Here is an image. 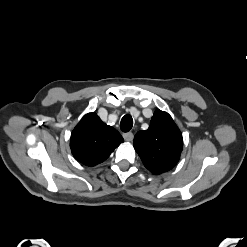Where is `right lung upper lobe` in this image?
I'll list each match as a JSON object with an SVG mask.
<instances>
[{
  "instance_id": "right-lung-upper-lobe-1",
  "label": "right lung upper lobe",
  "mask_w": 247,
  "mask_h": 247,
  "mask_svg": "<svg viewBox=\"0 0 247 247\" xmlns=\"http://www.w3.org/2000/svg\"><path fill=\"white\" fill-rule=\"evenodd\" d=\"M123 141L116 129L103 123L96 113H88L74 128L70 148L79 162L95 166L105 161Z\"/></svg>"
}]
</instances>
